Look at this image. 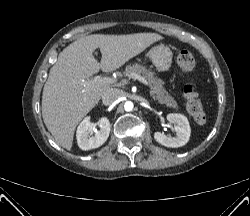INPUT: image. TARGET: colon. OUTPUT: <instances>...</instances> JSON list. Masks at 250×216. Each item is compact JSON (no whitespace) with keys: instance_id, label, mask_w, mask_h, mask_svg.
<instances>
[{"instance_id":"obj_1","label":"colon","mask_w":250,"mask_h":216,"mask_svg":"<svg viewBox=\"0 0 250 216\" xmlns=\"http://www.w3.org/2000/svg\"><path fill=\"white\" fill-rule=\"evenodd\" d=\"M177 66L181 72L185 74L191 73L195 66L193 54L187 49H182L177 56ZM183 92L186 99V108L188 113L198 124H204L207 117L199 99L196 84L192 81L187 82L184 85Z\"/></svg>"}]
</instances>
